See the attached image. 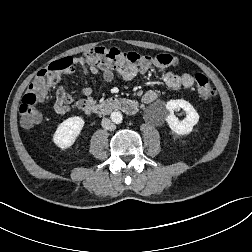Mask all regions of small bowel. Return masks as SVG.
Instances as JSON below:
<instances>
[{
  "instance_id": "c3829d8e",
  "label": "small bowel",
  "mask_w": 252,
  "mask_h": 252,
  "mask_svg": "<svg viewBox=\"0 0 252 252\" xmlns=\"http://www.w3.org/2000/svg\"><path fill=\"white\" fill-rule=\"evenodd\" d=\"M72 66L65 71L66 74L74 72V66H79L84 76L90 74H98L99 69L94 64L86 61L83 57L71 58ZM117 74L125 81L132 80L137 74V68H118ZM102 77L106 82H112L114 80V72L111 68H105L102 72ZM163 83L170 89H190L193 87L194 78L189 73L176 74L173 72H164L162 74ZM158 95L154 90H148L143 95V102L146 104L156 101ZM96 97L94 90L85 85L81 90V98H75L70 95L63 86H58L55 91V103L54 109L59 114H65L72 108H79L84 110L88 105L94 104Z\"/></svg>"
}]
</instances>
